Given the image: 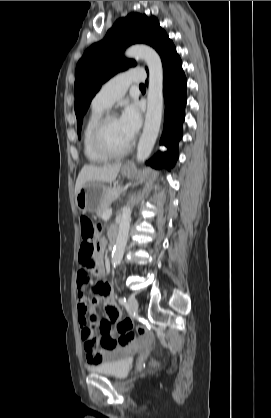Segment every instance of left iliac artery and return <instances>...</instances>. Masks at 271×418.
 I'll list each match as a JSON object with an SVG mask.
<instances>
[{
	"label": "left iliac artery",
	"mask_w": 271,
	"mask_h": 418,
	"mask_svg": "<svg viewBox=\"0 0 271 418\" xmlns=\"http://www.w3.org/2000/svg\"><path fill=\"white\" fill-rule=\"evenodd\" d=\"M118 302H119L121 305H125V304H126V298H125V297H120V298L118 299Z\"/></svg>",
	"instance_id": "44dca946"
}]
</instances>
